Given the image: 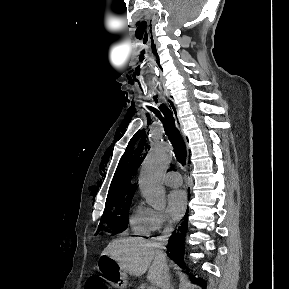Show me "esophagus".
<instances>
[{"label":"esophagus","mask_w":289,"mask_h":289,"mask_svg":"<svg viewBox=\"0 0 289 289\" xmlns=\"http://www.w3.org/2000/svg\"><path fill=\"white\" fill-rule=\"evenodd\" d=\"M169 105H170V107H171V109L173 111V115H174L175 119L177 120L178 119V110H177V108L175 107V105L173 103H169ZM179 127H180V130H181L182 129L181 123L179 124ZM184 139H185V142L187 143L185 136H184Z\"/></svg>","instance_id":"1"}]
</instances>
